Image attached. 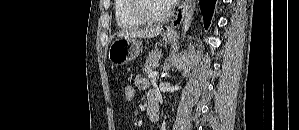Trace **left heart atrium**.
<instances>
[{
	"mask_svg": "<svg viewBox=\"0 0 299 130\" xmlns=\"http://www.w3.org/2000/svg\"><path fill=\"white\" fill-rule=\"evenodd\" d=\"M165 2H166L169 6H172L174 3H176V0H165Z\"/></svg>",
	"mask_w": 299,
	"mask_h": 130,
	"instance_id": "obj_1",
	"label": "left heart atrium"
}]
</instances>
